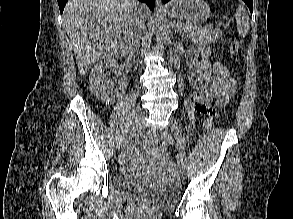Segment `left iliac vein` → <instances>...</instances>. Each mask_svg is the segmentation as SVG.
Wrapping results in <instances>:
<instances>
[{
  "label": "left iliac vein",
  "instance_id": "1",
  "mask_svg": "<svg viewBox=\"0 0 293 219\" xmlns=\"http://www.w3.org/2000/svg\"><path fill=\"white\" fill-rule=\"evenodd\" d=\"M170 128L173 132V135H174L176 142H177V147L180 151V165H181L182 169L185 170L186 165H187V161H186L185 154H184L182 130L178 124V121L174 117L171 118Z\"/></svg>",
  "mask_w": 293,
  "mask_h": 219
}]
</instances>
